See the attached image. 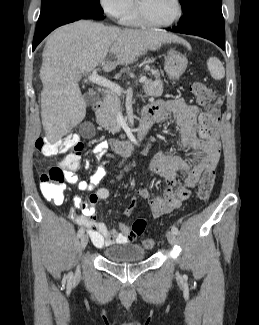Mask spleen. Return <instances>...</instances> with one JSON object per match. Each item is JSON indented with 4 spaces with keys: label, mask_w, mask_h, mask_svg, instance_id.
<instances>
[{
    "label": "spleen",
    "mask_w": 259,
    "mask_h": 325,
    "mask_svg": "<svg viewBox=\"0 0 259 325\" xmlns=\"http://www.w3.org/2000/svg\"><path fill=\"white\" fill-rule=\"evenodd\" d=\"M207 67L211 76L215 80H221L225 77V69L221 61L216 57H210L207 61Z\"/></svg>",
    "instance_id": "3e777b00"
}]
</instances>
